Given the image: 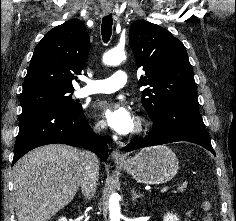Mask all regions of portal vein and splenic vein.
<instances>
[{
  "instance_id": "portal-vein-and-splenic-vein-1",
  "label": "portal vein and splenic vein",
  "mask_w": 236,
  "mask_h": 221,
  "mask_svg": "<svg viewBox=\"0 0 236 221\" xmlns=\"http://www.w3.org/2000/svg\"><path fill=\"white\" fill-rule=\"evenodd\" d=\"M168 189H169L168 186H164V187L161 188L160 192H161V193H165V192L168 191Z\"/></svg>"
}]
</instances>
